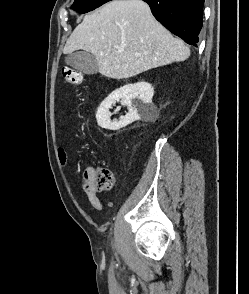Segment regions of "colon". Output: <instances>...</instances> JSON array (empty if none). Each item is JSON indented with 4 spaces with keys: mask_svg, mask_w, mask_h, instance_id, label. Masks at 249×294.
Here are the masks:
<instances>
[{
    "mask_svg": "<svg viewBox=\"0 0 249 294\" xmlns=\"http://www.w3.org/2000/svg\"><path fill=\"white\" fill-rule=\"evenodd\" d=\"M62 76L65 81L72 86H79L84 81L83 73L69 66H64L62 68ZM84 177L98 190H111L114 187V175L108 168L85 171Z\"/></svg>",
    "mask_w": 249,
    "mask_h": 294,
    "instance_id": "1",
    "label": "colon"
}]
</instances>
